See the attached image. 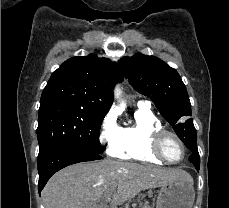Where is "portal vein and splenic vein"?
<instances>
[{
  "label": "portal vein and splenic vein",
  "instance_id": "1",
  "mask_svg": "<svg viewBox=\"0 0 229 208\" xmlns=\"http://www.w3.org/2000/svg\"><path fill=\"white\" fill-rule=\"evenodd\" d=\"M111 204H112L111 208H116L114 202H111Z\"/></svg>",
  "mask_w": 229,
  "mask_h": 208
}]
</instances>
